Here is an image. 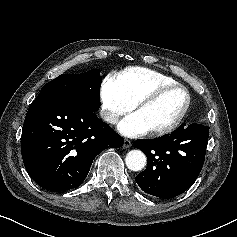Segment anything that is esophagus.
I'll use <instances>...</instances> for the list:
<instances>
[{
  "label": "esophagus",
  "mask_w": 237,
  "mask_h": 237,
  "mask_svg": "<svg viewBox=\"0 0 237 237\" xmlns=\"http://www.w3.org/2000/svg\"><path fill=\"white\" fill-rule=\"evenodd\" d=\"M131 141L129 139H125L123 143V148H129L131 146Z\"/></svg>",
  "instance_id": "obj_1"
}]
</instances>
